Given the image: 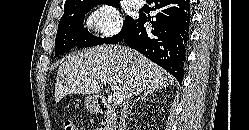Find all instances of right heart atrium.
Wrapping results in <instances>:
<instances>
[{
    "label": "right heart atrium",
    "instance_id": "d8ad5b80",
    "mask_svg": "<svg viewBox=\"0 0 249 130\" xmlns=\"http://www.w3.org/2000/svg\"><path fill=\"white\" fill-rule=\"evenodd\" d=\"M85 24L97 36L106 39L120 31L122 18L114 6L101 4L88 13Z\"/></svg>",
    "mask_w": 249,
    "mask_h": 130
}]
</instances>
